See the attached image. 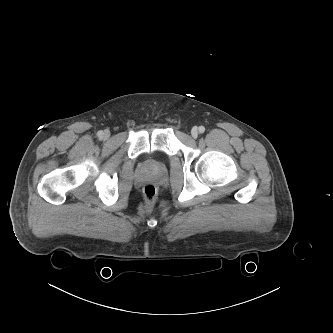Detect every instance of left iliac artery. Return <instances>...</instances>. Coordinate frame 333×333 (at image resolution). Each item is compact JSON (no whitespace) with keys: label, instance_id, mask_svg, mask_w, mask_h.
Returning <instances> with one entry per match:
<instances>
[{"label":"left iliac artery","instance_id":"left-iliac-artery-1","mask_svg":"<svg viewBox=\"0 0 333 333\" xmlns=\"http://www.w3.org/2000/svg\"><path fill=\"white\" fill-rule=\"evenodd\" d=\"M204 131H205V127H204V126H200V127H199V132H200V133H203Z\"/></svg>","mask_w":333,"mask_h":333}]
</instances>
